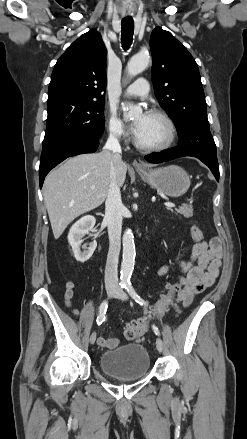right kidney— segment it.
I'll return each instance as SVG.
<instances>
[{"label": "right kidney", "instance_id": "1", "mask_svg": "<svg viewBox=\"0 0 247 439\" xmlns=\"http://www.w3.org/2000/svg\"><path fill=\"white\" fill-rule=\"evenodd\" d=\"M96 219L94 216L86 215L79 219L70 229L68 234V242L72 247L74 257L77 261L84 263L93 255L97 242L94 240L81 246L83 237L89 234L94 227ZM82 247L83 251L80 250Z\"/></svg>", "mask_w": 247, "mask_h": 439}]
</instances>
